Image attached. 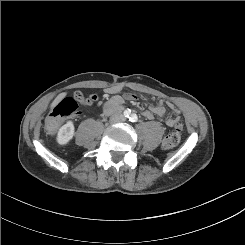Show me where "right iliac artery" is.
I'll return each instance as SVG.
<instances>
[{"label":"right iliac artery","mask_w":245,"mask_h":245,"mask_svg":"<svg viewBox=\"0 0 245 245\" xmlns=\"http://www.w3.org/2000/svg\"><path fill=\"white\" fill-rule=\"evenodd\" d=\"M130 115H131V110L130 109H127V110L124 111V116L125 117L128 118V117H130Z\"/></svg>","instance_id":"right-iliac-artery-1"}]
</instances>
